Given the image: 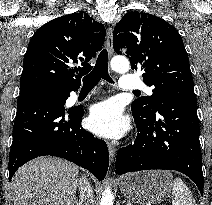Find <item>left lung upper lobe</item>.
Instances as JSON below:
<instances>
[{"label": "left lung upper lobe", "instance_id": "5c2ea615", "mask_svg": "<svg viewBox=\"0 0 212 205\" xmlns=\"http://www.w3.org/2000/svg\"><path fill=\"white\" fill-rule=\"evenodd\" d=\"M113 47L125 54L131 68L143 71L144 83L153 95L136 99L132 112L147 116L171 95L193 93L189 59L178 31L165 20L142 12H128L116 25Z\"/></svg>", "mask_w": 212, "mask_h": 205}]
</instances>
